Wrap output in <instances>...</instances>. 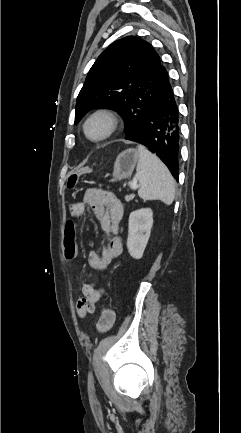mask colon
Wrapping results in <instances>:
<instances>
[{
	"mask_svg": "<svg viewBox=\"0 0 241 433\" xmlns=\"http://www.w3.org/2000/svg\"><path fill=\"white\" fill-rule=\"evenodd\" d=\"M89 171L87 168H72L71 172L68 173L67 177L64 178V185L71 189L73 186L79 185L78 177H87ZM77 219L75 217H68L66 219L65 231H64V245H65V256L68 260H72L75 257V250H77V241L79 231L76 228ZM115 321V312L110 304H107L102 310L101 317L97 324V330L99 333L104 334L108 332L113 326Z\"/></svg>",
	"mask_w": 241,
	"mask_h": 433,
	"instance_id": "obj_1",
	"label": "colon"
}]
</instances>
